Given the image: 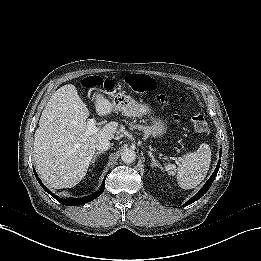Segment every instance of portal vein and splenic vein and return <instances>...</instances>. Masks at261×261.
I'll return each instance as SVG.
<instances>
[{
	"label": "portal vein and splenic vein",
	"instance_id": "1",
	"mask_svg": "<svg viewBox=\"0 0 261 261\" xmlns=\"http://www.w3.org/2000/svg\"><path fill=\"white\" fill-rule=\"evenodd\" d=\"M96 121L94 118L89 119V121L87 122V132L88 133H95L98 131V128L95 126Z\"/></svg>",
	"mask_w": 261,
	"mask_h": 261
}]
</instances>
